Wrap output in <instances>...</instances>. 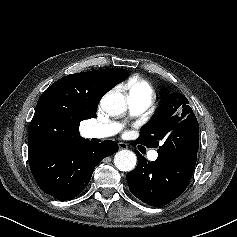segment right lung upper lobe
<instances>
[{
    "label": "right lung upper lobe",
    "mask_w": 237,
    "mask_h": 237,
    "mask_svg": "<svg viewBox=\"0 0 237 237\" xmlns=\"http://www.w3.org/2000/svg\"><path fill=\"white\" fill-rule=\"evenodd\" d=\"M127 77L120 68L65 76L40 97L28 131V154L77 140L79 125L94 118L101 96Z\"/></svg>",
    "instance_id": "obj_1"
}]
</instances>
